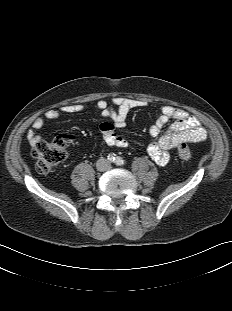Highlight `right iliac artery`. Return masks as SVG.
<instances>
[{
    "mask_svg": "<svg viewBox=\"0 0 232 311\" xmlns=\"http://www.w3.org/2000/svg\"><path fill=\"white\" fill-rule=\"evenodd\" d=\"M108 160H109L110 162H115V160H116L115 155H114V154L109 155V156H108Z\"/></svg>",
    "mask_w": 232,
    "mask_h": 311,
    "instance_id": "right-iliac-artery-1",
    "label": "right iliac artery"
}]
</instances>
